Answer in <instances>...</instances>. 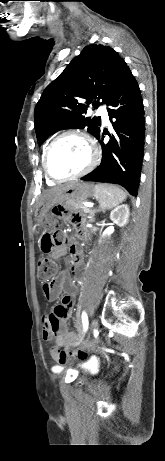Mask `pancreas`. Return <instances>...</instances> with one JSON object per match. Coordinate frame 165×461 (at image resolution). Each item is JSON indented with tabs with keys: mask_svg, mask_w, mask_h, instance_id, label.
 Here are the masks:
<instances>
[{
	"mask_svg": "<svg viewBox=\"0 0 165 461\" xmlns=\"http://www.w3.org/2000/svg\"><path fill=\"white\" fill-rule=\"evenodd\" d=\"M65 207L72 212H78V211L87 212L88 210L84 206L83 201L81 199H68L66 200Z\"/></svg>",
	"mask_w": 165,
	"mask_h": 461,
	"instance_id": "pancreas-1",
	"label": "pancreas"
}]
</instances>
